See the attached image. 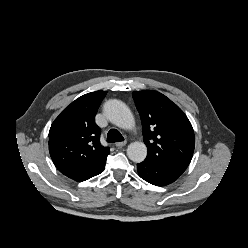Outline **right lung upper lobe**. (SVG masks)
Segmentation results:
<instances>
[{
	"label": "right lung upper lobe",
	"instance_id": "1",
	"mask_svg": "<svg viewBox=\"0 0 248 248\" xmlns=\"http://www.w3.org/2000/svg\"><path fill=\"white\" fill-rule=\"evenodd\" d=\"M106 91L85 94L55 119L49 131V152L57 169L82 182L104 168L109 148L100 143V129L94 122Z\"/></svg>",
	"mask_w": 248,
	"mask_h": 248
}]
</instances>
